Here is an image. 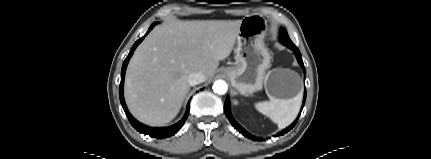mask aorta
<instances>
[{
	"instance_id": "obj_1",
	"label": "aorta",
	"mask_w": 431,
	"mask_h": 159,
	"mask_svg": "<svg viewBox=\"0 0 431 159\" xmlns=\"http://www.w3.org/2000/svg\"><path fill=\"white\" fill-rule=\"evenodd\" d=\"M212 89L215 93L223 95L227 92L228 86L224 80H217L214 82Z\"/></svg>"
}]
</instances>
